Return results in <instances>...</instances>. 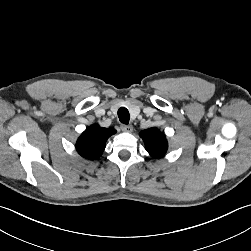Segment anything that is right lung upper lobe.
Segmentation results:
<instances>
[{
  "label": "right lung upper lobe",
  "instance_id": "obj_1",
  "mask_svg": "<svg viewBox=\"0 0 251 251\" xmlns=\"http://www.w3.org/2000/svg\"><path fill=\"white\" fill-rule=\"evenodd\" d=\"M116 133L113 128H102L92 125L86 129L76 142L77 152L89 160L98 159L106 146L107 139Z\"/></svg>",
  "mask_w": 251,
  "mask_h": 251
}]
</instances>
